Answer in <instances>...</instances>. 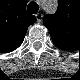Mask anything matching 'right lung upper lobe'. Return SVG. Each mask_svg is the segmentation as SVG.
Listing matches in <instances>:
<instances>
[{
  "instance_id": "obj_1",
  "label": "right lung upper lobe",
  "mask_w": 80,
  "mask_h": 80,
  "mask_svg": "<svg viewBox=\"0 0 80 80\" xmlns=\"http://www.w3.org/2000/svg\"><path fill=\"white\" fill-rule=\"evenodd\" d=\"M35 22L36 18L26 12L23 0H10L0 12L1 46L16 49L23 42L28 26Z\"/></svg>"
}]
</instances>
